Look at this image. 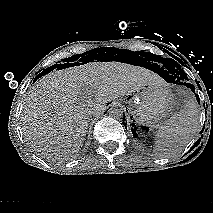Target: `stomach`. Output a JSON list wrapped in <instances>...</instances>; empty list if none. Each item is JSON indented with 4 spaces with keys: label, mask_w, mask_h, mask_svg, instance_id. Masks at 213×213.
Wrapping results in <instances>:
<instances>
[{
    "label": "stomach",
    "mask_w": 213,
    "mask_h": 213,
    "mask_svg": "<svg viewBox=\"0 0 213 213\" xmlns=\"http://www.w3.org/2000/svg\"><path fill=\"white\" fill-rule=\"evenodd\" d=\"M127 98L134 119L148 127H154L178 107L174 93L163 84L146 85Z\"/></svg>",
    "instance_id": "1"
}]
</instances>
